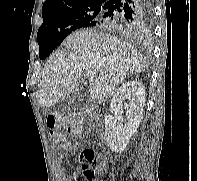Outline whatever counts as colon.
I'll return each instance as SVG.
<instances>
[{
  "instance_id": "obj_1",
  "label": "colon",
  "mask_w": 197,
  "mask_h": 181,
  "mask_svg": "<svg viewBox=\"0 0 197 181\" xmlns=\"http://www.w3.org/2000/svg\"><path fill=\"white\" fill-rule=\"evenodd\" d=\"M47 137L55 149L60 148L62 138L58 134V128H66L72 134H78L83 130L81 117L77 114H52L47 118ZM84 181H94L96 167L104 165V158L94 151L85 149L80 154Z\"/></svg>"
}]
</instances>
